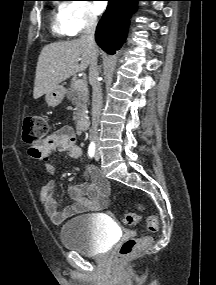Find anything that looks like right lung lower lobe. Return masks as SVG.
Masks as SVG:
<instances>
[{"instance_id": "98d812e1", "label": "right lung lower lobe", "mask_w": 216, "mask_h": 285, "mask_svg": "<svg viewBox=\"0 0 216 285\" xmlns=\"http://www.w3.org/2000/svg\"><path fill=\"white\" fill-rule=\"evenodd\" d=\"M108 7L99 21L95 39L108 54L115 53L125 41L131 14L136 3L144 0H108Z\"/></svg>"}]
</instances>
